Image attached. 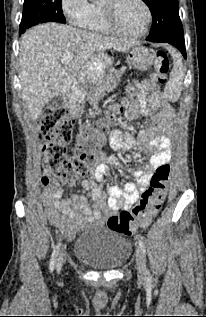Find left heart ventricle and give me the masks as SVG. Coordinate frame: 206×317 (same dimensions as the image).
<instances>
[{
  "label": "left heart ventricle",
  "instance_id": "left-heart-ventricle-1",
  "mask_svg": "<svg viewBox=\"0 0 206 317\" xmlns=\"http://www.w3.org/2000/svg\"><path fill=\"white\" fill-rule=\"evenodd\" d=\"M115 19L123 32L136 34L144 28L146 13L137 0H120L116 4Z\"/></svg>",
  "mask_w": 206,
  "mask_h": 317
}]
</instances>
